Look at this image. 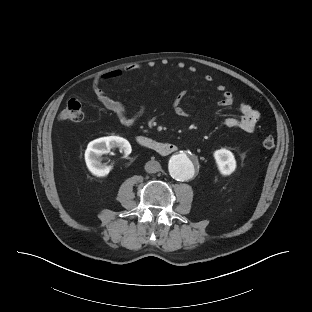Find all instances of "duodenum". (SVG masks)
<instances>
[{"mask_svg": "<svg viewBox=\"0 0 312 312\" xmlns=\"http://www.w3.org/2000/svg\"><path fill=\"white\" fill-rule=\"evenodd\" d=\"M135 141L141 147L161 155L171 154L178 148L174 143L161 142L149 136H137Z\"/></svg>", "mask_w": 312, "mask_h": 312, "instance_id": "1", "label": "duodenum"}]
</instances>
